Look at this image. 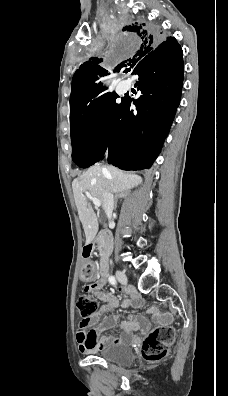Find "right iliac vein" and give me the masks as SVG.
Here are the masks:
<instances>
[{
    "label": "right iliac vein",
    "mask_w": 228,
    "mask_h": 396,
    "mask_svg": "<svg viewBox=\"0 0 228 396\" xmlns=\"http://www.w3.org/2000/svg\"><path fill=\"white\" fill-rule=\"evenodd\" d=\"M116 277L121 284L126 285L128 283L127 276L125 275V273L123 271L117 270Z\"/></svg>",
    "instance_id": "right-iliac-vein-1"
}]
</instances>
